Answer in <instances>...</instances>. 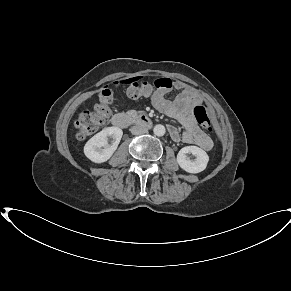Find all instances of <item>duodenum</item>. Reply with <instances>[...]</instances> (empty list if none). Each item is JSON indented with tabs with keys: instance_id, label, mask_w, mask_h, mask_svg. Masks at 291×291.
<instances>
[{
	"instance_id": "obj_1",
	"label": "duodenum",
	"mask_w": 291,
	"mask_h": 291,
	"mask_svg": "<svg viewBox=\"0 0 291 291\" xmlns=\"http://www.w3.org/2000/svg\"><path fill=\"white\" fill-rule=\"evenodd\" d=\"M112 124L118 128H127L132 124L142 127H150L152 125L151 119L147 115H129L125 113H117L111 119Z\"/></svg>"
}]
</instances>
